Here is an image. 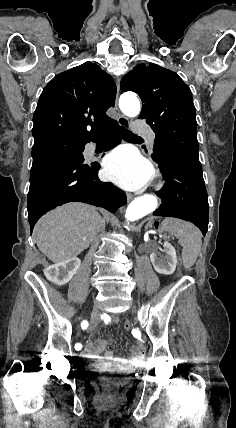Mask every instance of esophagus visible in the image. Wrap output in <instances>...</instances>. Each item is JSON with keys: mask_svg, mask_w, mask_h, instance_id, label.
I'll use <instances>...</instances> for the list:
<instances>
[{"mask_svg": "<svg viewBox=\"0 0 236 428\" xmlns=\"http://www.w3.org/2000/svg\"><path fill=\"white\" fill-rule=\"evenodd\" d=\"M116 81H117V97H116V105H117V98L119 96V89H120L118 77H116ZM118 123H119V125H121V127L127 128L130 126L129 120L124 115L119 116ZM128 198L131 199L132 195H128Z\"/></svg>", "mask_w": 236, "mask_h": 428, "instance_id": "1", "label": "esophagus"}]
</instances>
